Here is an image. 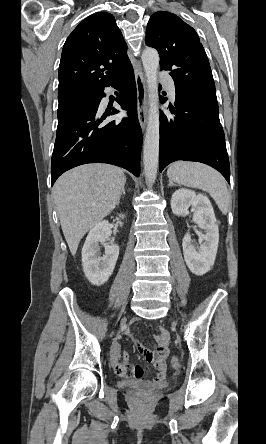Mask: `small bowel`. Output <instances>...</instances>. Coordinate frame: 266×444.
<instances>
[{
    "label": "small bowel",
    "mask_w": 266,
    "mask_h": 444,
    "mask_svg": "<svg viewBox=\"0 0 266 444\" xmlns=\"http://www.w3.org/2000/svg\"><path fill=\"white\" fill-rule=\"evenodd\" d=\"M156 347L154 350L145 348L139 341L135 343L137 350L141 355L150 363H152L157 370L156 376L151 380L143 379V369L140 366H134L129 363V355L124 353L120 361L114 359L113 364L115 371L123 377H127L133 381L139 382L144 385H159L166 379V359L168 355V341L169 336L165 330H160L154 336ZM113 354L116 358L119 352V342L116 340L113 343Z\"/></svg>",
    "instance_id": "c3829d8e"
}]
</instances>
